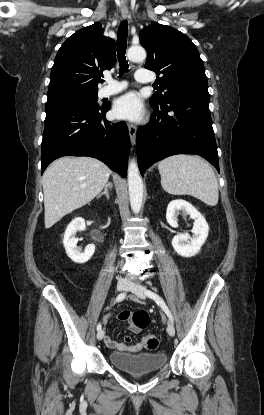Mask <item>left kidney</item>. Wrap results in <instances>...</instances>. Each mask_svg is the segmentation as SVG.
I'll use <instances>...</instances> for the list:
<instances>
[{
	"mask_svg": "<svg viewBox=\"0 0 264 415\" xmlns=\"http://www.w3.org/2000/svg\"><path fill=\"white\" fill-rule=\"evenodd\" d=\"M180 211L189 214L194 220L193 236L191 237L188 233H179L173 237L172 246L180 256L188 258L195 256L200 251L208 237L209 226L194 206L185 200L177 199L168 204L166 211V219L171 227H178L177 217Z\"/></svg>",
	"mask_w": 264,
	"mask_h": 415,
	"instance_id": "left-kidney-1",
	"label": "left kidney"
}]
</instances>
